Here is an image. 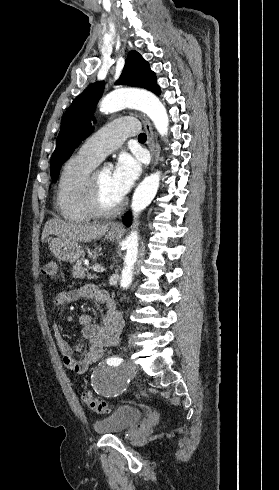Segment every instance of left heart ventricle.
<instances>
[{
	"label": "left heart ventricle",
	"mask_w": 279,
	"mask_h": 490,
	"mask_svg": "<svg viewBox=\"0 0 279 490\" xmlns=\"http://www.w3.org/2000/svg\"><path fill=\"white\" fill-rule=\"evenodd\" d=\"M97 178L99 180L102 199L106 205H114L120 199L114 194V190L111 185V172L110 171H99L97 172Z\"/></svg>",
	"instance_id": "obj_1"
}]
</instances>
